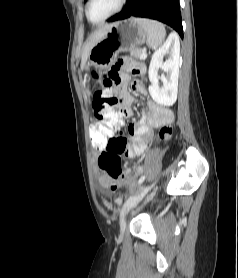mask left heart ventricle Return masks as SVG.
<instances>
[{"mask_svg": "<svg viewBox=\"0 0 238 278\" xmlns=\"http://www.w3.org/2000/svg\"><path fill=\"white\" fill-rule=\"evenodd\" d=\"M120 0H92L89 7L90 18L100 21L118 6Z\"/></svg>", "mask_w": 238, "mask_h": 278, "instance_id": "left-heart-ventricle-1", "label": "left heart ventricle"}]
</instances>
